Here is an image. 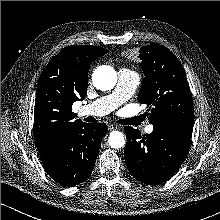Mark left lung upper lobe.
<instances>
[{
    "label": "left lung upper lobe",
    "mask_w": 220,
    "mask_h": 220,
    "mask_svg": "<svg viewBox=\"0 0 220 220\" xmlns=\"http://www.w3.org/2000/svg\"><path fill=\"white\" fill-rule=\"evenodd\" d=\"M143 85L138 101L150 107L153 127H174L193 131V102L186 74L172 52L160 44L140 50Z\"/></svg>",
    "instance_id": "5c2ea615"
}]
</instances>
